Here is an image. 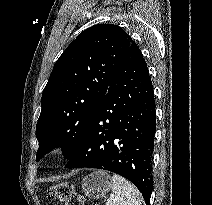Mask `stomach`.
<instances>
[{
	"label": "stomach",
	"instance_id": "1",
	"mask_svg": "<svg viewBox=\"0 0 212 205\" xmlns=\"http://www.w3.org/2000/svg\"><path fill=\"white\" fill-rule=\"evenodd\" d=\"M82 189L91 199L102 198L111 189L110 176L103 171L93 172L83 179Z\"/></svg>",
	"mask_w": 212,
	"mask_h": 205
}]
</instances>
